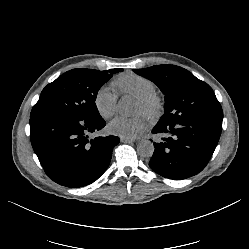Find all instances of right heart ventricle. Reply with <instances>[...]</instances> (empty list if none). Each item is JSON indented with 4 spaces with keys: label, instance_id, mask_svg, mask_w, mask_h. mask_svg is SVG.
<instances>
[{
    "label": "right heart ventricle",
    "instance_id": "1",
    "mask_svg": "<svg viewBox=\"0 0 249 249\" xmlns=\"http://www.w3.org/2000/svg\"><path fill=\"white\" fill-rule=\"evenodd\" d=\"M113 86L120 93H127L136 97L156 92V85L152 80L134 72H124L118 75L113 82Z\"/></svg>",
    "mask_w": 249,
    "mask_h": 249
}]
</instances>
